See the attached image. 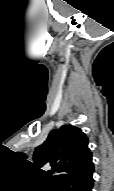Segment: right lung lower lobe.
I'll list each match as a JSON object with an SVG mask.
<instances>
[{"mask_svg":"<svg viewBox=\"0 0 114 191\" xmlns=\"http://www.w3.org/2000/svg\"><path fill=\"white\" fill-rule=\"evenodd\" d=\"M94 169L84 174L70 177L59 185V191H91Z\"/></svg>","mask_w":114,"mask_h":191,"instance_id":"98d812e1","label":"right lung lower lobe"}]
</instances>
